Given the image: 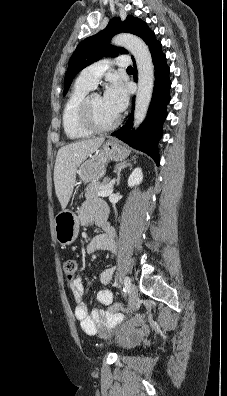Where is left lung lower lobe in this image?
<instances>
[{"mask_svg": "<svg viewBox=\"0 0 227 396\" xmlns=\"http://www.w3.org/2000/svg\"><path fill=\"white\" fill-rule=\"evenodd\" d=\"M147 45L149 46L155 66V86L147 117L136 131H131L133 127L132 112L126 124L112 133V135L126 142L131 147L147 153L159 165L157 144L162 137V125L167 116L166 106L170 101V70L166 64V56L162 52L161 43L154 38ZM134 66L136 67L135 61ZM134 79L136 80V73L134 74ZM132 100L134 110L135 98L133 97Z\"/></svg>", "mask_w": 227, "mask_h": 396, "instance_id": "obj_1", "label": "left lung lower lobe"}]
</instances>
